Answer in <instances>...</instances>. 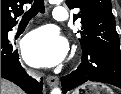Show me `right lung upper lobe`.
Here are the masks:
<instances>
[{"mask_svg":"<svg viewBox=\"0 0 121 94\" xmlns=\"http://www.w3.org/2000/svg\"><path fill=\"white\" fill-rule=\"evenodd\" d=\"M31 2L32 0H1V30L16 25L15 19L23 13V5Z\"/></svg>","mask_w":121,"mask_h":94,"instance_id":"cb5924a9","label":"right lung upper lobe"}]
</instances>
